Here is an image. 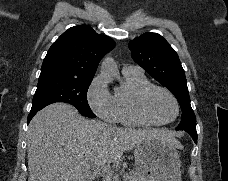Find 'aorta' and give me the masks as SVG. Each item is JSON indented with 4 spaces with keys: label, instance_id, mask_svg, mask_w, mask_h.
I'll return each instance as SVG.
<instances>
[{
    "label": "aorta",
    "instance_id": "aorta-1",
    "mask_svg": "<svg viewBox=\"0 0 228 181\" xmlns=\"http://www.w3.org/2000/svg\"><path fill=\"white\" fill-rule=\"evenodd\" d=\"M101 74L112 81L118 75L116 63L111 57H106L101 65Z\"/></svg>",
    "mask_w": 228,
    "mask_h": 181
}]
</instances>
